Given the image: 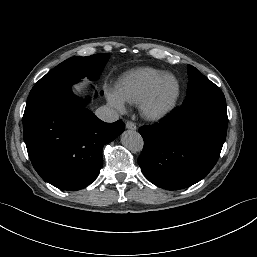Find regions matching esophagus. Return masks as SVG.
Listing matches in <instances>:
<instances>
[{
    "label": "esophagus",
    "mask_w": 257,
    "mask_h": 257,
    "mask_svg": "<svg viewBox=\"0 0 257 257\" xmlns=\"http://www.w3.org/2000/svg\"><path fill=\"white\" fill-rule=\"evenodd\" d=\"M126 128L127 129H130V130H136L137 129V126L134 122L132 121H127L126 122Z\"/></svg>",
    "instance_id": "obj_1"
}]
</instances>
